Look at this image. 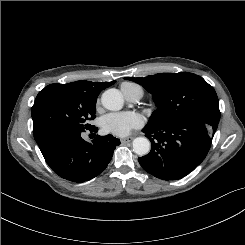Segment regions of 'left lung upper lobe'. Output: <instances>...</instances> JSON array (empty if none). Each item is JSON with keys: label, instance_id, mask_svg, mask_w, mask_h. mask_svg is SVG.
Segmentation results:
<instances>
[{"label": "left lung upper lobe", "instance_id": "left-lung-upper-lobe-1", "mask_svg": "<svg viewBox=\"0 0 245 245\" xmlns=\"http://www.w3.org/2000/svg\"><path fill=\"white\" fill-rule=\"evenodd\" d=\"M152 94L157 109L149 127H161L189 117H205L219 122L218 97L211 85L199 75L159 73L145 78L127 77Z\"/></svg>", "mask_w": 245, "mask_h": 245}]
</instances>
